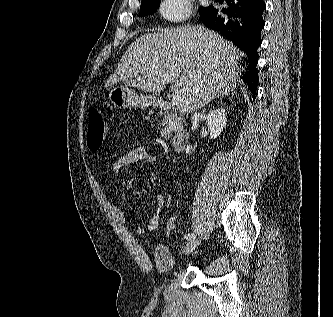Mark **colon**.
Listing matches in <instances>:
<instances>
[{
    "instance_id": "1",
    "label": "colon",
    "mask_w": 333,
    "mask_h": 317,
    "mask_svg": "<svg viewBox=\"0 0 333 317\" xmlns=\"http://www.w3.org/2000/svg\"><path fill=\"white\" fill-rule=\"evenodd\" d=\"M107 132V124L99 109L92 107L88 112L87 145L90 150L97 151L101 148ZM175 212L166 215L164 223L165 233L170 235L175 228Z\"/></svg>"
}]
</instances>
